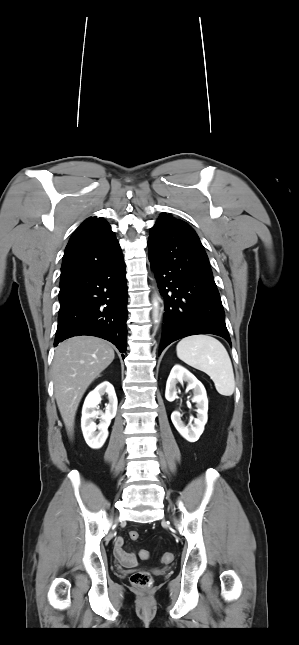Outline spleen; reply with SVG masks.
I'll return each mask as SVG.
<instances>
[{
	"label": "spleen",
	"instance_id": "spleen-1",
	"mask_svg": "<svg viewBox=\"0 0 299 645\" xmlns=\"http://www.w3.org/2000/svg\"><path fill=\"white\" fill-rule=\"evenodd\" d=\"M176 351L180 360L206 373L219 394H233V367L229 354L220 341L208 335L188 336L177 344Z\"/></svg>",
	"mask_w": 299,
	"mask_h": 645
}]
</instances>
